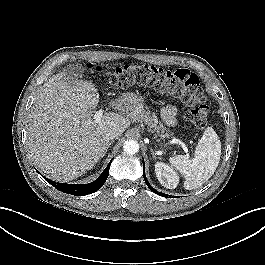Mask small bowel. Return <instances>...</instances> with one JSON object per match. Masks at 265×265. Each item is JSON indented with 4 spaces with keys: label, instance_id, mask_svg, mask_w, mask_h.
<instances>
[{
    "label": "small bowel",
    "instance_id": "obj_1",
    "mask_svg": "<svg viewBox=\"0 0 265 265\" xmlns=\"http://www.w3.org/2000/svg\"><path fill=\"white\" fill-rule=\"evenodd\" d=\"M175 113H176V109L172 105H168L162 110V117H163L164 122L167 125H174L175 124V121H176L175 120Z\"/></svg>",
    "mask_w": 265,
    "mask_h": 265
}]
</instances>
